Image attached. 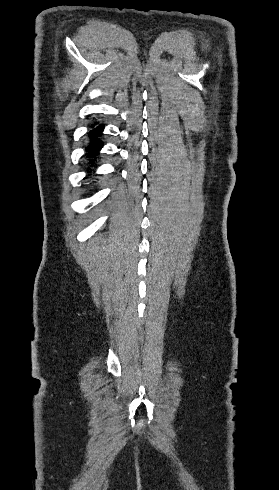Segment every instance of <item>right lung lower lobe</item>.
I'll list each match as a JSON object with an SVG mask.
<instances>
[{"instance_id": "98d812e1", "label": "right lung lower lobe", "mask_w": 279, "mask_h": 490, "mask_svg": "<svg viewBox=\"0 0 279 490\" xmlns=\"http://www.w3.org/2000/svg\"><path fill=\"white\" fill-rule=\"evenodd\" d=\"M104 129V125H100L93 130H91L88 134L89 143L86 147V157L88 158V172H92V168L95 167L96 156L99 155V151L103 144L99 141V137Z\"/></svg>"}]
</instances>
